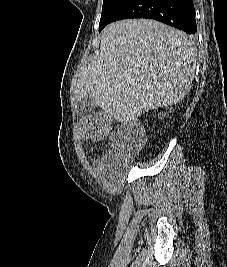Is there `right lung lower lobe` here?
<instances>
[{
	"label": "right lung lower lobe",
	"instance_id": "1",
	"mask_svg": "<svg viewBox=\"0 0 227 267\" xmlns=\"http://www.w3.org/2000/svg\"><path fill=\"white\" fill-rule=\"evenodd\" d=\"M127 18L154 19L190 35L197 31L192 0H127L109 23Z\"/></svg>",
	"mask_w": 227,
	"mask_h": 267
}]
</instances>
